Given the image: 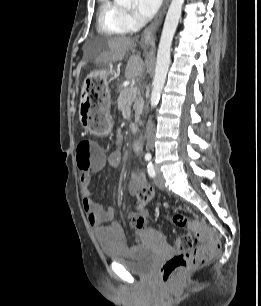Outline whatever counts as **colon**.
Returning <instances> with one entry per match:
<instances>
[{
    "label": "colon",
    "mask_w": 261,
    "mask_h": 306,
    "mask_svg": "<svg viewBox=\"0 0 261 306\" xmlns=\"http://www.w3.org/2000/svg\"><path fill=\"white\" fill-rule=\"evenodd\" d=\"M77 166L81 170H88L99 165L104 160L103 151L94 146L90 140H81L76 149ZM153 196L150 186H143L138 191V211L133 218L132 226L141 230L146 226L141 213ZM174 224L187 228L192 234L179 235L175 240V247L179 253L171 256L160 267V275L165 283H174L198 265L206 262L219 248V237L207 225L191 220L183 213H176L172 217ZM196 239L202 243L196 245Z\"/></svg>",
    "instance_id": "obj_1"
}]
</instances>
